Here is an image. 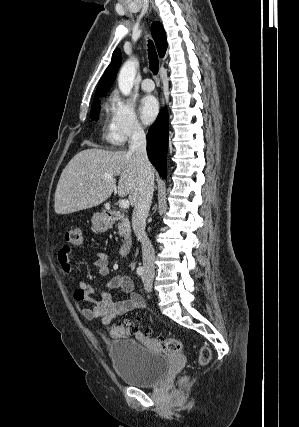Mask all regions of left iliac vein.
Segmentation results:
<instances>
[{
	"label": "left iliac vein",
	"instance_id": "obj_1",
	"mask_svg": "<svg viewBox=\"0 0 299 427\" xmlns=\"http://www.w3.org/2000/svg\"><path fill=\"white\" fill-rule=\"evenodd\" d=\"M143 280H144V284H145V289H146L148 292H151V290H152V286H150V285L148 284V281H147V279H146V278H144Z\"/></svg>",
	"mask_w": 299,
	"mask_h": 427
}]
</instances>
